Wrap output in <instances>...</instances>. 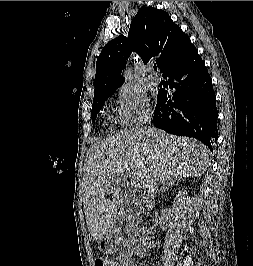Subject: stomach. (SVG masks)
<instances>
[{
	"label": "stomach",
	"instance_id": "1",
	"mask_svg": "<svg viewBox=\"0 0 253 266\" xmlns=\"http://www.w3.org/2000/svg\"><path fill=\"white\" fill-rule=\"evenodd\" d=\"M118 245V241L112 237L111 234L107 233L103 238L98 240V247L102 252H112L116 246Z\"/></svg>",
	"mask_w": 253,
	"mask_h": 266
}]
</instances>
